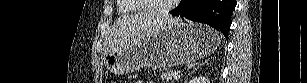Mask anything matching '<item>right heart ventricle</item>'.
<instances>
[{
	"label": "right heart ventricle",
	"mask_w": 307,
	"mask_h": 83,
	"mask_svg": "<svg viewBox=\"0 0 307 83\" xmlns=\"http://www.w3.org/2000/svg\"><path fill=\"white\" fill-rule=\"evenodd\" d=\"M141 7L137 5L134 0H119L118 1V12L119 14H130L140 12Z\"/></svg>",
	"instance_id": "obj_1"
}]
</instances>
